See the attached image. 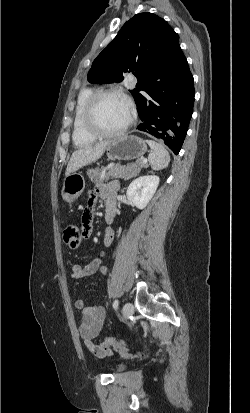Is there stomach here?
I'll return each mask as SVG.
<instances>
[{
  "label": "stomach",
  "instance_id": "0dacf381",
  "mask_svg": "<svg viewBox=\"0 0 250 413\" xmlns=\"http://www.w3.org/2000/svg\"><path fill=\"white\" fill-rule=\"evenodd\" d=\"M110 160H133L142 157L147 151L144 140L134 135H125L109 141L106 147ZM85 181L82 175L72 173L65 177L61 191L62 199L67 203L75 201L83 192Z\"/></svg>",
  "mask_w": 250,
  "mask_h": 413
}]
</instances>
